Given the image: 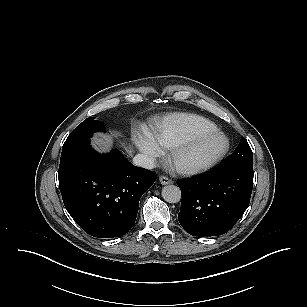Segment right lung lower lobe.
Returning <instances> with one entry per match:
<instances>
[{
    "instance_id": "1",
    "label": "right lung lower lobe",
    "mask_w": 307,
    "mask_h": 307,
    "mask_svg": "<svg viewBox=\"0 0 307 307\" xmlns=\"http://www.w3.org/2000/svg\"><path fill=\"white\" fill-rule=\"evenodd\" d=\"M58 177L64 205L76 223L91 236L111 238L133 227L140 197L157 176L117 150L95 152L88 140L62 151Z\"/></svg>"
}]
</instances>
